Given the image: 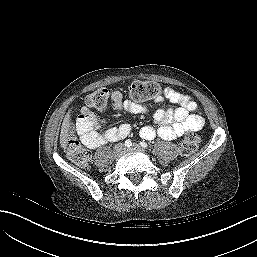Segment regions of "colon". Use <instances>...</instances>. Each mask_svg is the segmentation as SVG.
Here are the masks:
<instances>
[{"label":"colon","instance_id":"obj_1","mask_svg":"<svg viewBox=\"0 0 257 257\" xmlns=\"http://www.w3.org/2000/svg\"><path fill=\"white\" fill-rule=\"evenodd\" d=\"M129 96L136 101L156 99L161 94V88L156 82L152 81H135L128 87ZM108 90L104 88L97 89L86 99L87 109L91 112L106 110L108 106ZM73 122V119H71ZM200 137L191 134L181 143L180 153L189 156L198 150ZM66 153L68 158L75 164L85 166L89 163V152L80 144L76 137L71 134L66 140Z\"/></svg>","mask_w":257,"mask_h":257}]
</instances>
